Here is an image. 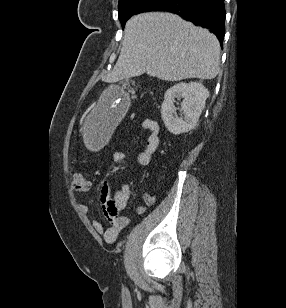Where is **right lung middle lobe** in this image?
<instances>
[{"instance_id": "1", "label": "right lung middle lobe", "mask_w": 286, "mask_h": 308, "mask_svg": "<svg viewBox=\"0 0 286 308\" xmlns=\"http://www.w3.org/2000/svg\"><path fill=\"white\" fill-rule=\"evenodd\" d=\"M168 0H121L118 5V18L124 28L126 21L135 14L153 11Z\"/></svg>"}]
</instances>
